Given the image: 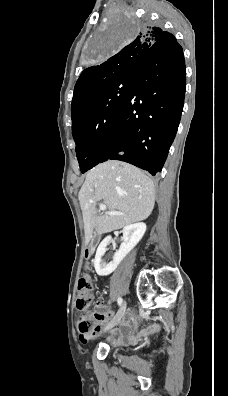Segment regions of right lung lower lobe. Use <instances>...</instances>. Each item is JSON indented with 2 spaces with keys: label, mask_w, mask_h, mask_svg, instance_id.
<instances>
[{
  "label": "right lung lower lobe",
  "mask_w": 228,
  "mask_h": 396,
  "mask_svg": "<svg viewBox=\"0 0 228 396\" xmlns=\"http://www.w3.org/2000/svg\"><path fill=\"white\" fill-rule=\"evenodd\" d=\"M186 87L182 47L153 50L139 63L101 162L121 160L158 174L175 138Z\"/></svg>",
  "instance_id": "1"
}]
</instances>
